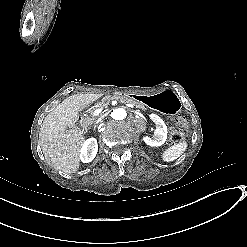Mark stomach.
<instances>
[{"instance_id":"obj_1","label":"stomach","mask_w":247,"mask_h":247,"mask_svg":"<svg viewBox=\"0 0 247 247\" xmlns=\"http://www.w3.org/2000/svg\"><path fill=\"white\" fill-rule=\"evenodd\" d=\"M145 106L169 115L178 114L181 111V102L178 95L166 88L158 93L135 96Z\"/></svg>"}]
</instances>
